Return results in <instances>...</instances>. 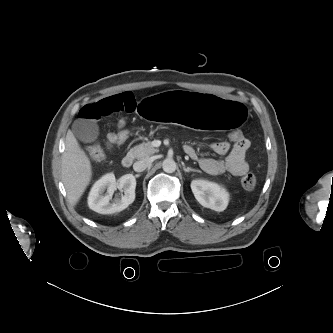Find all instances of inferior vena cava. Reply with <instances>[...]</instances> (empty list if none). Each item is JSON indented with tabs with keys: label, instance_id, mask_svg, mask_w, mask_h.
<instances>
[{
	"label": "inferior vena cava",
	"instance_id": "1",
	"mask_svg": "<svg viewBox=\"0 0 333 333\" xmlns=\"http://www.w3.org/2000/svg\"><path fill=\"white\" fill-rule=\"evenodd\" d=\"M151 159L146 158V159H142L140 161H137L133 164V169L136 172H142L144 171L148 166L151 165Z\"/></svg>",
	"mask_w": 333,
	"mask_h": 333
}]
</instances>
